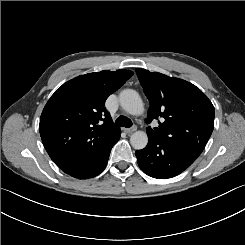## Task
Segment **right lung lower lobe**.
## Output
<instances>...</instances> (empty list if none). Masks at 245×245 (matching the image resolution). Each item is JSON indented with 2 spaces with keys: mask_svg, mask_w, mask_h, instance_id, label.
Returning <instances> with one entry per match:
<instances>
[{
  "mask_svg": "<svg viewBox=\"0 0 245 245\" xmlns=\"http://www.w3.org/2000/svg\"><path fill=\"white\" fill-rule=\"evenodd\" d=\"M120 134L115 136L106 147L81 155L72 165L62 170L77 179L93 178L99 175L105 169L111 148L119 140Z\"/></svg>",
  "mask_w": 245,
  "mask_h": 245,
  "instance_id": "98d812e1",
  "label": "right lung lower lobe"
}]
</instances>
